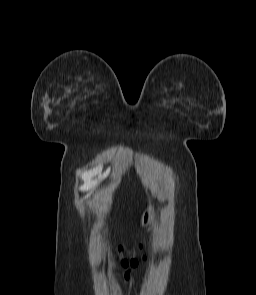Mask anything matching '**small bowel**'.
Instances as JSON below:
<instances>
[{
    "label": "small bowel",
    "instance_id": "small-bowel-1",
    "mask_svg": "<svg viewBox=\"0 0 256 295\" xmlns=\"http://www.w3.org/2000/svg\"><path fill=\"white\" fill-rule=\"evenodd\" d=\"M124 278L128 280L130 278V273L129 272L124 273Z\"/></svg>",
    "mask_w": 256,
    "mask_h": 295
}]
</instances>
